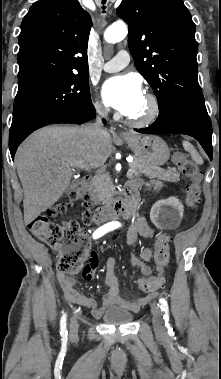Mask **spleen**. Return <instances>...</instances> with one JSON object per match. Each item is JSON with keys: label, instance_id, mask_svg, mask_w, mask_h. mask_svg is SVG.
I'll use <instances>...</instances> for the list:
<instances>
[{"label": "spleen", "instance_id": "1", "mask_svg": "<svg viewBox=\"0 0 221 379\" xmlns=\"http://www.w3.org/2000/svg\"><path fill=\"white\" fill-rule=\"evenodd\" d=\"M183 147L184 149L190 153L192 159L197 163V164H202L203 160L201 156L197 153L193 145L187 141H183Z\"/></svg>", "mask_w": 221, "mask_h": 379}]
</instances>
